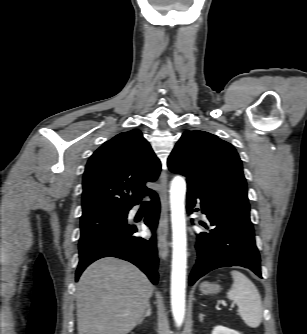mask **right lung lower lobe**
Segmentation results:
<instances>
[{"mask_svg":"<svg viewBox=\"0 0 307 334\" xmlns=\"http://www.w3.org/2000/svg\"><path fill=\"white\" fill-rule=\"evenodd\" d=\"M149 194L152 201L145 223L154 230L158 223L160 203L154 191ZM136 231V227L130 225L108 233L79 249L80 260L76 271V281L92 262L113 256L133 263L149 277L153 284H157L158 257L155 238L153 236L150 240H145L134 236Z\"/></svg>","mask_w":307,"mask_h":334,"instance_id":"1","label":"right lung lower lobe"}]
</instances>
